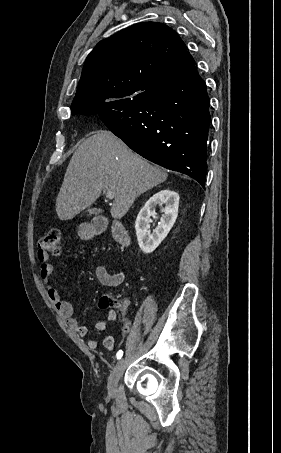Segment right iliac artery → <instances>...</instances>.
<instances>
[{
    "mask_svg": "<svg viewBox=\"0 0 281 453\" xmlns=\"http://www.w3.org/2000/svg\"><path fill=\"white\" fill-rule=\"evenodd\" d=\"M116 356H117V359H121L122 356H123V351H122V350H119V351L117 352Z\"/></svg>",
    "mask_w": 281,
    "mask_h": 453,
    "instance_id": "obj_1",
    "label": "right iliac artery"
}]
</instances>
